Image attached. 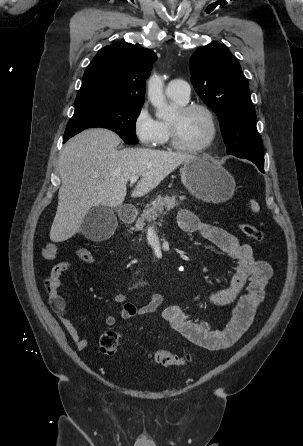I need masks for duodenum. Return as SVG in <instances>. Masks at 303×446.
<instances>
[{
    "label": "duodenum",
    "mask_w": 303,
    "mask_h": 446,
    "mask_svg": "<svg viewBox=\"0 0 303 446\" xmlns=\"http://www.w3.org/2000/svg\"><path fill=\"white\" fill-rule=\"evenodd\" d=\"M120 216L124 223H131L136 217V211L133 208L125 207L122 209Z\"/></svg>",
    "instance_id": "1"
}]
</instances>
